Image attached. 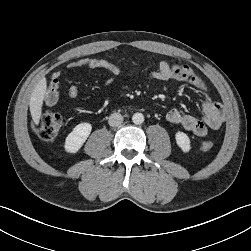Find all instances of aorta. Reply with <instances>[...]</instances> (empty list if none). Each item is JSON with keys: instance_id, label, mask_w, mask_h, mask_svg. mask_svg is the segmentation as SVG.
Returning a JSON list of instances; mask_svg holds the SVG:
<instances>
[{"instance_id": "1", "label": "aorta", "mask_w": 251, "mask_h": 251, "mask_svg": "<svg viewBox=\"0 0 251 251\" xmlns=\"http://www.w3.org/2000/svg\"><path fill=\"white\" fill-rule=\"evenodd\" d=\"M132 121L134 124H142L144 121V116L142 113H135L132 117Z\"/></svg>"}]
</instances>
